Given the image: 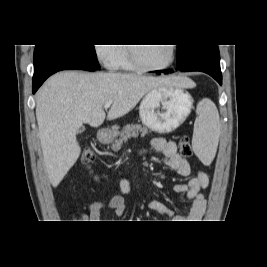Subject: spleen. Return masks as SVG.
Segmentation results:
<instances>
[{"label": "spleen", "mask_w": 267, "mask_h": 267, "mask_svg": "<svg viewBox=\"0 0 267 267\" xmlns=\"http://www.w3.org/2000/svg\"><path fill=\"white\" fill-rule=\"evenodd\" d=\"M198 114L194 125L192 146L199 159L205 164H210L218 146L219 114L214 104L206 102L199 105Z\"/></svg>", "instance_id": "spleen-1"}]
</instances>
